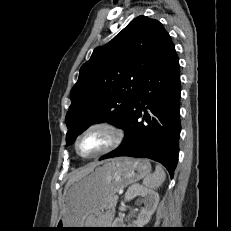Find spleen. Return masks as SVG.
<instances>
[{
    "mask_svg": "<svg viewBox=\"0 0 231 231\" xmlns=\"http://www.w3.org/2000/svg\"><path fill=\"white\" fill-rule=\"evenodd\" d=\"M165 178L166 173L162 166L156 165L155 172L153 174L147 175L143 180V184L149 189H156L163 184Z\"/></svg>",
    "mask_w": 231,
    "mask_h": 231,
    "instance_id": "3e777b00",
    "label": "spleen"
}]
</instances>
